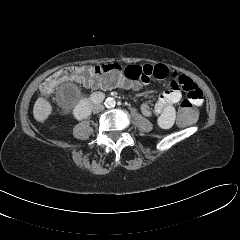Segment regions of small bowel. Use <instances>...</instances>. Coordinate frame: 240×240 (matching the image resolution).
I'll return each instance as SVG.
<instances>
[{"mask_svg": "<svg viewBox=\"0 0 240 240\" xmlns=\"http://www.w3.org/2000/svg\"><path fill=\"white\" fill-rule=\"evenodd\" d=\"M126 73L132 80L123 84L126 88H140L149 82L151 78L160 80L169 79V88L161 93L152 109L149 103H143L141 111L143 115L149 117L153 113L157 115V124L162 129L172 126L176 115V104L182 99V92L186 93L187 99L195 106L199 107L203 103L201 89L186 75L178 72H170L163 64L130 65L126 68ZM93 88H111L110 86H91Z\"/></svg>", "mask_w": 240, "mask_h": 240, "instance_id": "obj_1", "label": "small bowel"}]
</instances>
